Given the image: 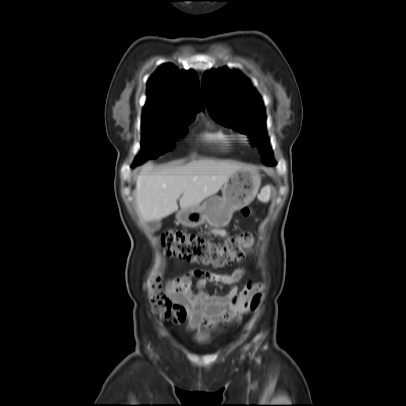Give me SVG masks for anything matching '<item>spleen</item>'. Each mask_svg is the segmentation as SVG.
Here are the masks:
<instances>
[{
    "mask_svg": "<svg viewBox=\"0 0 406 406\" xmlns=\"http://www.w3.org/2000/svg\"><path fill=\"white\" fill-rule=\"evenodd\" d=\"M270 192H271L270 186L264 187L261 191L262 198H264L265 200H268L270 198Z\"/></svg>",
    "mask_w": 406,
    "mask_h": 406,
    "instance_id": "1",
    "label": "spleen"
}]
</instances>
